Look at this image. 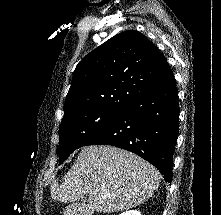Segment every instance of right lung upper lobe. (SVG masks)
<instances>
[{
	"instance_id": "right-lung-upper-lobe-1",
	"label": "right lung upper lobe",
	"mask_w": 221,
	"mask_h": 215,
	"mask_svg": "<svg viewBox=\"0 0 221 215\" xmlns=\"http://www.w3.org/2000/svg\"><path fill=\"white\" fill-rule=\"evenodd\" d=\"M172 75L158 48L142 33L124 31L77 65L64 103V116L88 109L122 112Z\"/></svg>"
}]
</instances>
